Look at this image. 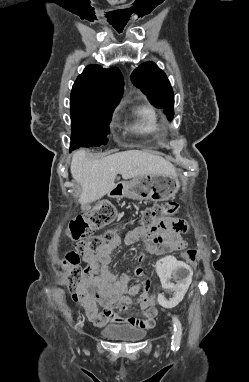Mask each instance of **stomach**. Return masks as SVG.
Wrapping results in <instances>:
<instances>
[{"mask_svg": "<svg viewBox=\"0 0 249 382\" xmlns=\"http://www.w3.org/2000/svg\"><path fill=\"white\" fill-rule=\"evenodd\" d=\"M180 188L177 177L166 175H141L129 182L118 180L109 192L110 198L128 197L134 200L160 202L173 197Z\"/></svg>", "mask_w": 249, "mask_h": 382, "instance_id": "obj_1", "label": "stomach"}]
</instances>
